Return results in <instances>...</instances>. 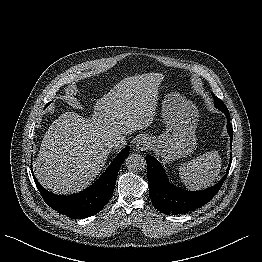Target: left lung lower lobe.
Segmentation results:
<instances>
[{"label": "left lung lower lobe", "instance_id": "0a47b994", "mask_svg": "<svg viewBox=\"0 0 262 262\" xmlns=\"http://www.w3.org/2000/svg\"><path fill=\"white\" fill-rule=\"evenodd\" d=\"M218 109L227 117V131L230 135V146L232 147L233 129L230 124L229 111L228 109ZM146 162L149 195L153 205L164 214L178 215L202 207L217 194L230 169L232 154L230 155L227 174L216 185L202 191H188L170 184L165 176L163 166L154 156L147 155Z\"/></svg>", "mask_w": 262, "mask_h": 262}]
</instances>
